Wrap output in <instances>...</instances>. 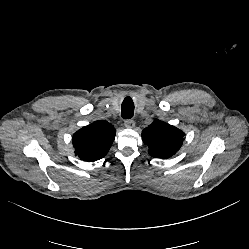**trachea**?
Masks as SVG:
<instances>
[{
    "label": "trachea",
    "instance_id": "3493384b",
    "mask_svg": "<svg viewBox=\"0 0 249 249\" xmlns=\"http://www.w3.org/2000/svg\"><path fill=\"white\" fill-rule=\"evenodd\" d=\"M121 107H122V117L124 119H129L133 116L134 103L131 97H125Z\"/></svg>",
    "mask_w": 249,
    "mask_h": 249
}]
</instances>
